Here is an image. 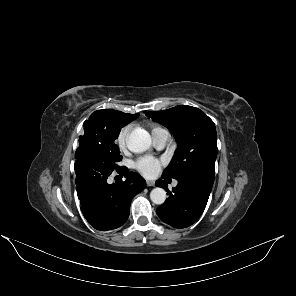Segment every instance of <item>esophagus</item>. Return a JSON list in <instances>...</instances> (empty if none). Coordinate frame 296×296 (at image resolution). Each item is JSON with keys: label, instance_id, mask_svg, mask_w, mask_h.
<instances>
[{"label": "esophagus", "instance_id": "1", "mask_svg": "<svg viewBox=\"0 0 296 296\" xmlns=\"http://www.w3.org/2000/svg\"><path fill=\"white\" fill-rule=\"evenodd\" d=\"M146 184H147V186H154L155 185V181H153V180H147L146 181Z\"/></svg>", "mask_w": 296, "mask_h": 296}]
</instances>
